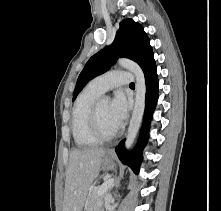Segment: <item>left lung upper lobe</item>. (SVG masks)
Returning a JSON list of instances; mask_svg holds the SVG:
<instances>
[{
  "mask_svg": "<svg viewBox=\"0 0 221 211\" xmlns=\"http://www.w3.org/2000/svg\"><path fill=\"white\" fill-rule=\"evenodd\" d=\"M153 56L149 38L143 27L132 19L120 23L114 42L94 54L80 73L73 94V101L83 87L93 78L105 73L118 57L129 58L141 68Z\"/></svg>",
  "mask_w": 221,
  "mask_h": 211,
  "instance_id": "5c2ea615",
  "label": "left lung upper lobe"
}]
</instances>
